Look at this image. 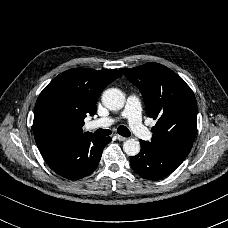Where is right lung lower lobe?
Segmentation results:
<instances>
[{
	"mask_svg": "<svg viewBox=\"0 0 228 228\" xmlns=\"http://www.w3.org/2000/svg\"><path fill=\"white\" fill-rule=\"evenodd\" d=\"M110 137L81 136L71 141L40 151L49 167L67 179H80L98 166L103 148Z\"/></svg>",
	"mask_w": 228,
	"mask_h": 228,
	"instance_id": "obj_1",
	"label": "right lung lower lobe"
}]
</instances>
